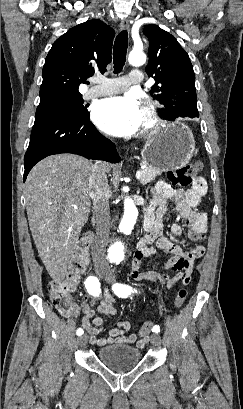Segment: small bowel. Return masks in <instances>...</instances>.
Wrapping results in <instances>:
<instances>
[{
	"instance_id": "obj_1",
	"label": "small bowel",
	"mask_w": 243,
	"mask_h": 409,
	"mask_svg": "<svg viewBox=\"0 0 243 409\" xmlns=\"http://www.w3.org/2000/svg\"><path fill=\"white\" fill-rule=\"evenodd\" d=\"M206 192L207 183L204 178L196 179L194 184L186 190H176L166 182L156 183L151 190L152 202L148 209V212L152 214L156 209L155 222L151 231L138 244V251L130 271L132 279L160 283L168 289H172L178 282L182 285L190 283L193 263L203 256L205 247L199 244L186 251L173 243L162 235L163 219L170 209L174 210L184 219L189 239L197 242L203 241L207 232V217L204 213L199 212L197 207ZM170 202L173 203L172 206L169 205ZM170 230L175 236L183 235V227L180 224H172ZM160 251L169 255L160 268L171 270L175 272L174 275L166 272L140 270L144 258L155 256ZM80 309L83 313L82 327L89 334L91 344L95 346L136 343L137 347L142 348L148 342V336L137 340L136 334L130 332V323L126 321L118 322L116 327L110 329L109 337H98L103 330V319L97 316V313L105 315L107 319H111L116 314L115 299L106 291L103 292L96 309L88 304H83L81 307L74 304L72 316L77 315Z\"/></svg>"
}]
</instances>
